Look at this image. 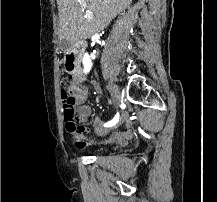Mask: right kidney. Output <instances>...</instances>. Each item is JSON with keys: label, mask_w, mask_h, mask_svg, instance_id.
Masks as SVG:
<instances>
[{"label": "right kidney", "mask_w": 217, "mask_h": 202, "mask_svg": "<svg viewBox=\"0 0 217 202\" xmlns=\"http://www.w3.org/2000/svg\"><path fill=\"white\" fill-rule=\"evenodd\" d=\"M82 64L84 66V74H88L92 68V62L89 54H84Z\"/></svg>", "instance_id": "1"}]
</instances>
